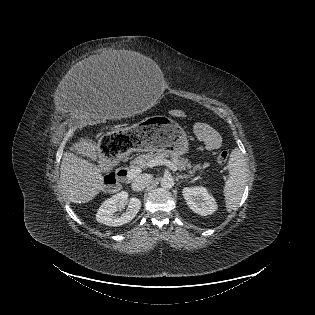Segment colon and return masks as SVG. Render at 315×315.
<instances>
[{
  "instance_id": "obj_1",
  "label": "colon",
  "mask_w": 315,
  "mask_h": 315,
  "mask_svg": "<svg viewBox=\"0 0 315 315\" xmlns=\"http://www.w3.org/2000/svg\"><path fill=\"white\" fill-rule=\"evenodd\" d=\"M172 114L176 117H184L185 116V113L181 110H174V111H172ZM228 157H229L228 151H226V150L221 151L217 155V158H216L218 164L224 165L227 162ZM108 178H111V177H108Z\"/></svg>"
}]
</instances>
